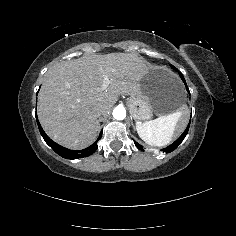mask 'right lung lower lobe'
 Instances as JSON below:
<instances>
[{
    "label": "right lung lower lobe",
    "mask_w": 236,
    "mask_h": 236,
    "mask_svg": "<svg viewBox=\"0 0 236 236\" xmlns=\"http://www.w3.org/2000/svg\"><path fill=\"white\" fill-rule=\"evenodd\" d=\"M38 127H39V131L43 137V139L45 140V142L61 157L66 158V159H79V158H83V157H87L91 154H93L96 150H97V142L100 139V136H102V131L100 133V136L98 137V139L89 147L83 149V150H70L67 149L65 147L60 146L59 144L55 143L54 141H52L47 135L46 133L43 131L42 127L40 126L38 120Z\"/></svg>",
    "instance_id": "obj_1"
}]
</instances>
